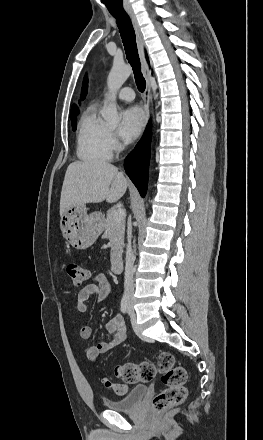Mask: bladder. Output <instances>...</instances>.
Returning <instances> with one entry per match:
<instances>
[{
  "label": "bladder",
  "mask_w": 263,
  "mask_h": 440,
  "mask_svg": "<svg viewBox=\"0 0 263 440\" xmlns=\"http://www.w3.org/2000/svg\"><path fill=\"white\" fill-rule=\"evenodd\" d=\"M148 391L146 385L135 386L122 398L105 399L104 405L106 408L114 411L128 412L134 411Z\"/></svg>",
  "instance_id": "obj_1"
}]
</instances>
